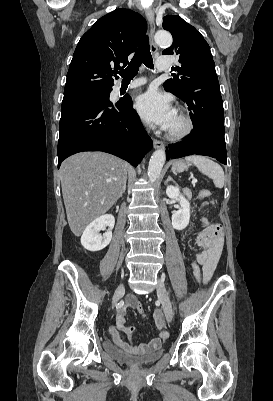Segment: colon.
Masks as SVG:
<instances>
[{"label": "colon", "mask_w": 273, "mask_h": 401, "mask_svg": "<svg viewBox=\"0 0 273 401\" xmlns=\"http://www.w3.org/2000/svg\"><path fill=\"white\" fill-rule=\"evenodd\" d=\"M221 232H222V229L219 224H212L207 228L206 232L201 233V240L202 241H213L215 237L220 236ZM136 305H137L136 308L138 310V314L140 316H143L145 314V310H146L143 305V302L141 300H138L136 302Z\"/></svg>", "instance_id": "5ec220e1"}]
</instances>
